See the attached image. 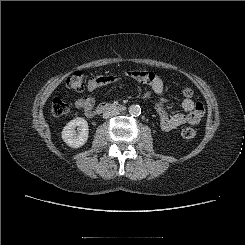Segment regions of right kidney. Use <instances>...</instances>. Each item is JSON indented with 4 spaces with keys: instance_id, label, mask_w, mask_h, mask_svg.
<instances>
[{
    "instance_id": "ca27d5eb",
    "label": "right kidney",
    "mask_w": 245,
    "mask_h": 245,
    "mask_svg": "<svg viewBox=\"0 0 245 245\" xmlns=\"http://www.w3.org/2000/svg\"><path fill=\"white\" fill-rule=\"evenodd\" d=\"M76 127H78V133H76ZM88 135V123L81 117L69 121L62 130V139L71 148L83 146L88 140Z\"/></svg>"
}]
</instances>
